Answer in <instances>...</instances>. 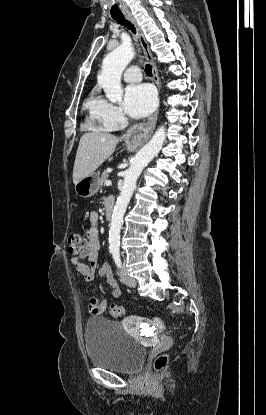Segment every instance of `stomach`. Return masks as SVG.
<instances>
[{
    "mask_svg": "<svg viewBox=\"0 0 266 415\" xmlns=\"http://www.w3.org/2000/svg\"><path fill=\"white\" fill-rule=\"evenodd\" d=\"M127 147L129 150L134 149V145L131 143H127ZM100 187V179L97 173H92L89 176L82 178L76 185H75V192L78 196L82 198H89L92 197Z\"/></svg>",
    "mask_w": 266,
    "mask_h": 415,
    "instance_id": "stomach-1",
    "label": "stomach"
}]
</instances>
